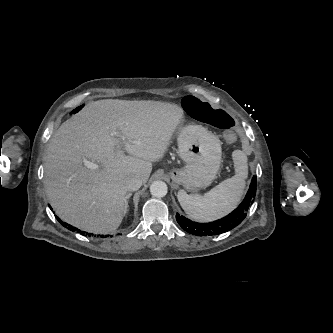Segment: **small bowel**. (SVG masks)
Returning <instances> with one entry per match:
<instances>
[{"mask_svg": "<svg viewBox=\"0 0 333 333\" xmlns=\"http://www.w3.org/2000/svg\"><path fill=\"white\" fill-rule=\"evenodd\" d=\"M221 141L226 145H233L237 143L238 139H240L244 144L242 145V153H249V144L248 141L243 136H238L237 132L233 130H227L221 133L220 135Z\"/></svg>", "mask_w": 333, "mask_h": 333, "instance_id": "obj_1", "label": "small bowel"}]
</instances>
